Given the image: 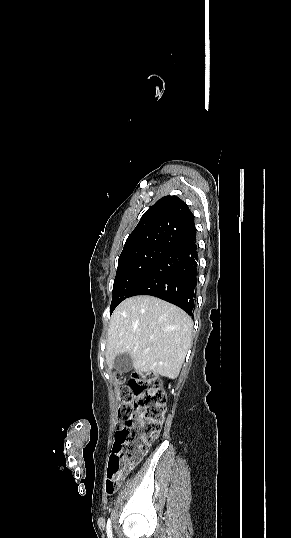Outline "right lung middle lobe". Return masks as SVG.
Instances as JSON below:
<instances>
[{
  "label": "right lung middle lobe",
  "instance_id": "right-lung-middle-lobe-1",
  "mask_svg": "<svg viewBox=\"0 0 291 538\" xmlns=\"http://www.w3.org/2000/svg\"><path fill=\"white\" fill-rule=\"evenodd\" d=\"M171 248L145 246L120 255L113 286L110 314L120 302L128 298L145 275L166 255Z\"/></svg>",
  "mask_w": 291,
  "mask_h": 538
}]
</instances>
